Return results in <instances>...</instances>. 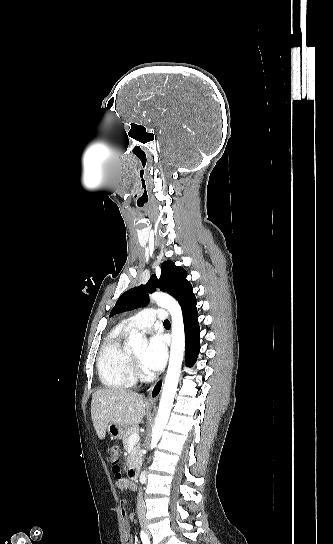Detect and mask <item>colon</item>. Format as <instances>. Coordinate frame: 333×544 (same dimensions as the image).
<instances>
[{"mask_svg":"<svg viewBox=\"0 0 333 544\" xmlns=\"http://www.w3.org/2000/svg\"><path fill=\"white\" fill-rule=\"evenodd\" d=\"M108 459L113 466V470L118 479H121L120 465H119V449L116 445H112L109 449Z\"/></svg>","mask_w":333,"mask_h":544,"instance_id":"1","label":"colon"}]
</instances>
